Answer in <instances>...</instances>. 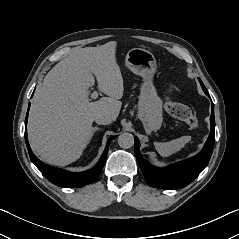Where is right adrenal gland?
I'll return each instance as SVG.
<instances>
[{
	"label": "right adrenal gland",
	"instance_id": "right-adrenal-gland-1",
	"mask_svg": "<svg viewBox=\"0 0 239 239\" xmlns=\"http://www.w3.org/2000/svg\"><path fill=\"white\" fill-rule=\"evenodd\" d=\"M99 130V128L96 126V127H94L93 128V131H92V136L94 135V133L96 132V131H98Z\"/></svg>",
	"mask_w": 239,
	"mask_h": 239
}]
</instances>
